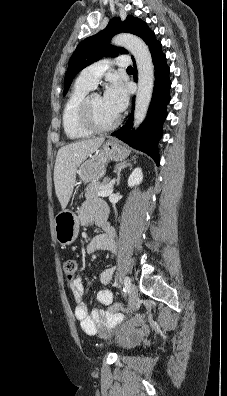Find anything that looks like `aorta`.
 Returning <instances> with one entry per match:
<instances>
[{
    "label": "aorta",
    "instance_id": "obj_1",
    "mask_svg": "<svg viewBox=\"0 0 227 396\" xmlns=\"http://www.w3.org/2000/svg\"><path fill=\"white\" fill-rule=\"evenodd\" d=\"M112 44L126 48L136 60L138 89L134 111V127L137 128L147 115L153 92L154 66L151 53L142 39L129 33L116 35L112 39Z\"/></svg>",
    "mask_w": 227,
    "mask_h": 396
}]
</instances>
